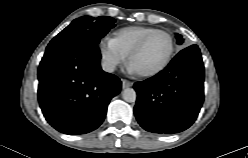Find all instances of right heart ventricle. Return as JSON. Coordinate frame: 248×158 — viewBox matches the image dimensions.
<instances>
[{
	"mask_svg": "<svg viewBox=\"0 0 248 158\" xmlns=\"http://www.w3.org/2000/svg\"><path fill=\"white\" fill-rule=\"evenodd\" d=\"M154 30L155 28L147 26L124 27L113 33L112 40L123 54L128 56L130 51L142 39V37Z\"/></svg>",
	"mask_w": 248,
	"mask_h": 158,
	"instance_id": "1",
	"label": "right heart ventricle"
}]
</instances>
